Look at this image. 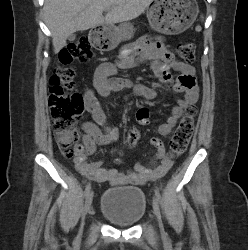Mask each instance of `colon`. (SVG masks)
<instances>
[{
  "mask_svg": "<svg viewBox=\"0 0 248 250\" xmlns=\"http://www.w3.org/2000/svg\"><path fill=\"white\" fill-rule=\"evenodd\" d=\"M179 56L187 63L195 60V45L191 42L180 43L177 46ZM93 57L91 43L88 37H80L67 45L59 54V65L50 78L49 107L53 119L60 151L64 158L74 159L78 152L79 133L76 123L85 111L82 95L73 90L72 77L74 70L69 66L74 62L86 63ZM196 108L186 107L184 115L175 129L170 141L172 156L181 155L188 147L194 132ZM133 140L126 138L121 146H132L139 139L138 132L133 130ZM118 162L119 160L116 159Z\"/></svg>",
  "mask_w": 248,
  "mask_h": 250,
  "instance_id": "obj_1",
  "label": "colon"
}]
</instances>
